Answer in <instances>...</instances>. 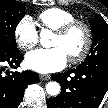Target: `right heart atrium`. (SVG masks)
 <instances>
[{
	"label": "right heart atrium",
	"instance_id": "d8ad5b80",
	"mask_svg": "<svg viewBox=\"0 0 108 108\" xmlns=\"http://www.w3.org/2000/svg\"><path fill=\"white\" fill-rule=\"evenodd\" d=\"M14 37L19 49L28 51L39 42L38 31L30 17H23L15 26Z\"/></svg>",
	"mask_w": 108,
	"mask_h": 108
}]
</instances>
